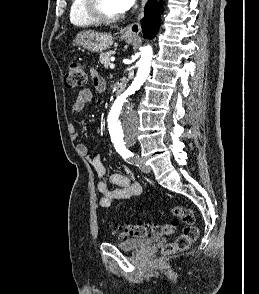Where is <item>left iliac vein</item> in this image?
Masks as SVG:
<instances>
[{"label":"left iliac vein","instance_id":"4c4485c4","mask_svg":"<svg viewBox=\"0 0 259 294\" xmlns=\"http://www.w3.org/2000/svg\"><path fill=\"white\" fill-rule=\"evenodd\" d=\"M138 159H139V160H138V162H137V165H138L139 169H140L143 173H146V174L150 173V172H151V168L145 164V162H144L143 159H141V158H138Z\"/></svg>","mask_w":259,"mask_h":294}]
</instances>
